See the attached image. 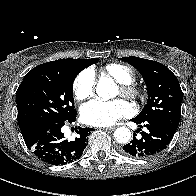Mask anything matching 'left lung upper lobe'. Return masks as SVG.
I'll list each match as a JSON object with an SVG mask.
<instances>
[{"label": "left lung upper lobe", "instance_id": "left-lung-upper-lobe-1", "mask_svg": "<svg viewBox=\"0 0 196 196\" xmlns=\"http://www.w3.org/2000/svg\"><path fill=\"white\" fill-rule=\"evenodd\" d=\"M121 60L135 67L145 80L148 101L137 119H159L174 129L181 118L183 92L176 76L163 64L139 57Z\"/></svg>", "mask_w": 196, "mask_h": 196}]
</instances>
